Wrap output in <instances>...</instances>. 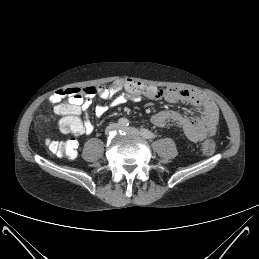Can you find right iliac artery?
<instances>
[{"label":"right iliac artery","instance_id":"obj_1","mask_svg":"<svg viewBox=\"0 0 259 259\" xmlns=\"http://www.w3.org/2000/svg\"><path fill=\"white\" fill-rule=\"evenodd\" d=\"M118 125H120L122 127H126L129 125V121L126 118H120L118 120Z\"/></svg>","mask_w":259,"mask_h":259}]
</instances>
